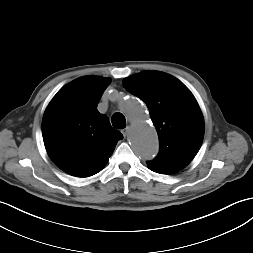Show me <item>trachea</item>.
I'll return each mask as SVG.
<instances>
[{"instance_id": "obj_1", "label": "trachea", "mask_w": 253, "mask_h": 253, "mask_svg": "<svg viewBox=\"0 0 253 253\" xmlns=\"http://www.w3.org/2000/svg\"><path fill=\"white\" fill-rule=\"evenodd\" d=\"M112 125L117 129H122L126 126V120L122 113H115L112 116Z\"/></svg>"}]
</instances>
